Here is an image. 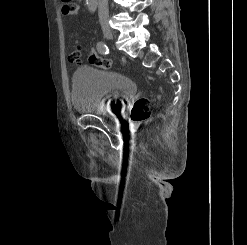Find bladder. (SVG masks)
<instances>
[{"mask_svg":"<svg viewBox=\"0 0 247 245\" xmlns=\"http://www.w3.org/2000/svg\"><path fill=\"white\" fill-rule=\"evenodd\" d=\"M135 90V82L124 74L85 66L73 74L71 100L78 112L104 116L119 112Z\"/></svg>","mask_w":247,"mask_h":245,"instance_id":"bladder-1","label":"bladder"}]
</instances>
